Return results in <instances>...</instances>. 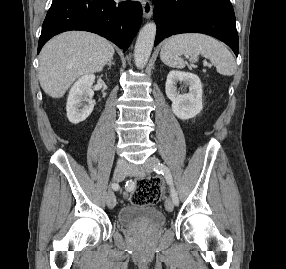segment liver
Returning <instances> with one entry per match:
<instances>
[{
    "label": "liver",
    "mask_w": 286,
    "mask_h": 269,
    "mask_svg": "<svg viewBox=\"0 0 286 269\" xmlns=\"http://www.w3.org/2000/svg\"><path fill=\"white\" fill-rule=\"evenodd\" d=\"M113 55L112 44L99 35L62 33L48 41L40 53V85L49 96L60 98L78 77L102 71Z\"/></svg>",
    "instance_id": "6515ba94"
}]
</instances>
